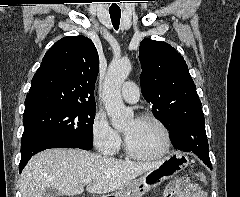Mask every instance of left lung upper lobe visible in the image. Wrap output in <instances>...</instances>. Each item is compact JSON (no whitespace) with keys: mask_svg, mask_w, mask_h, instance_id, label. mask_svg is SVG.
Masks as SVG:
<instances>
[{"mask_svg":"<svg viewBox=\"0 0 240 197\" xmlns=\"http://www.w3.org/2000/svg\"><path fill=\"white\" fill-rule=\"evenodd\" d=\"M139 60L142 94L170 134L180 117L202 111L188 66L171 45L145 38L140 43Z\"/></svg>","mask_w":240,"mask_h":197,"instance_id":"obj_1","label":"left lung upper lobe"}]
</instances>
